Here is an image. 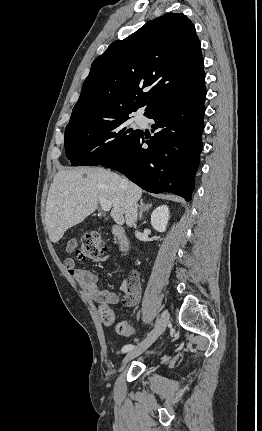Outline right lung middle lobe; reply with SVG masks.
I'll return each mask as SVG.
<instances>
[{
    "label": "right lung middle lobe",
    "instance_id": "right-lung-middle-lobe-1",
    "mask_svg": "<svg viewBox=\"0 0 262 431\" xmlns=\"http://www.w3.org/2000/svg\"><path fill=\"white\" fill-rule=\"evenodd\" d=\"M128 119L126 115L67 125L65 151L71 165H100L113 159L140 133L127 125Z\"/></svg>",
    "mask_w": 262,
    "mask_h": 431
}]
</instances>
